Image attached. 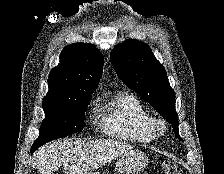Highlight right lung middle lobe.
Returning a JSON list of instances; mask_svg holds the SVG:
<instances>
[{
    "label": "right lung middle lobe",
    "mask_w": 224,
    "mask_h": 174,
    "mask_svg": "<svg viewBox=\"0 0 224 174\" xmlns=\"http://www.w3.org/2000/svg\"><path fill=\"white\" fill-rule=\"evenodd\" d=\"M90 97L67 101H42L45 119L41 123L39 137L32 148H39L51 140L82 131Z\"/></svg>",
    "instance_id": "1"
}]
</instances>
